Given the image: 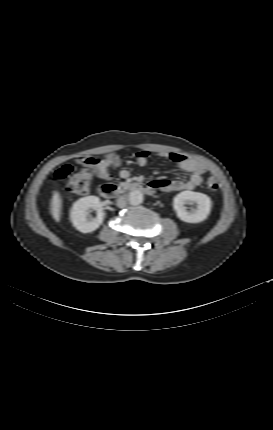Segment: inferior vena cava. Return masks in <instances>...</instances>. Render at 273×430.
<instances>
[{"mask_svg": "<svg viewBox=\"0 0 273 430\" xmlns=\"http://www.w3.org/2000/svg\"><path fill=\"white\" fill-rule=\"evenodd\" d=\"M126 198L125 197H123V196H121V197H119L118 199H117V206L119 207V208H124L125 206H126Z\"/></svg>", "mask_w": 273, "mask_h": 430, "instance_id": "602c4592", "label": "inferior vena cava"}]
</instances>
